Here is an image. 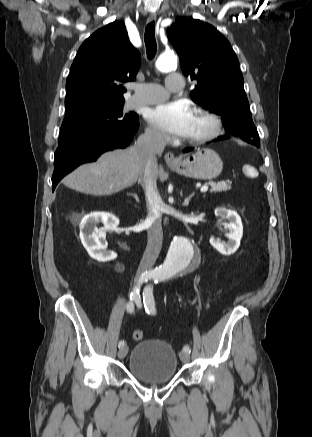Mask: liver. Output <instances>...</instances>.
Returning <instances> with one entry per match:
<instances>
[{"label":"liver","mask_w":312,"mask_h":437,"mask_svg":"<svg viewBox=\"0 0 312 437\" xmlns=\"http://www.w3.org/2000/svg\"><path fill=\"white\" fill-rule=\"evenodd\" d=\"M144 170L137 144L123 150L102 154L94 163L83 164L63 179V184L77 192L108 196L132 186ZM158 168L156 176L158 177Z\"/></svg>","instance_id":"obj_1"}]
</instances>
